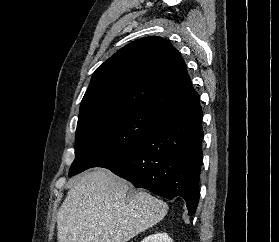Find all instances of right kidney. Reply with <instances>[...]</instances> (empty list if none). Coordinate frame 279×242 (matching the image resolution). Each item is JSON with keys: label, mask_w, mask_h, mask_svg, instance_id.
<instances>
[{"label": "right kidney", "mask_w": 279, "mask_h": 242, "mask_svg": "<svg viewBox=\"0 0 279 242\" xmlns=\"http://www.w3.org/2000/svg\"><path fill=\"white\" fill-rule=\"evenodd\" d=\"M141 242H173L167 233H156L145 237Z\"/></svg>", "instance_id": "ca27d5eb"}]
</instances>
